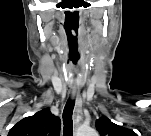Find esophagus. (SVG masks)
Listing matches in <instances>:
<instances>
[{"mask_svg": "<svg viewBox=\"0 0 151 136\" xmlns=\"http://www.w3.org/2000/svg\"><path fill=\"white\" fill-rule=\"evenodd\" d=\"M71 96L73 99H76V105H75V125L78 126L79 122L82 119V104L81 99L79 97L78 90L76 88H72L71 90Z\"/></svg>", "mask_w": 151, "mask_h": 136, "instance_id": "esophagus-1", "label": "esophagus"}]
</instances>
